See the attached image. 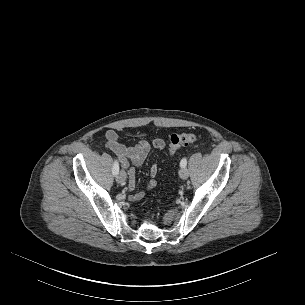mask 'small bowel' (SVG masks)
Here are the masks:
<instances>
[{"mask_svg": "<svg viewBox=\"0 0 305 305\" xmlns=\"http://www.w3.org/2000/svg\"><path fill=\"white\" fill-rule=\"evenodd\" d=\"M105 141L107 148L116 154L122 166L125 168H128L129 162H131L135 166L142 165L145 159L147 158L151 147L163 151L166 146L165 141L161 138L154 139L152 143H149L146 140H141L134 146H126L119 141V136L114 130L106 131ZM127 172L129 176L128 187L131 191H134L136 188L135 170L134 168H128ZM149 173L151 177H155L157 175V163H153L151 165ZM156 185V180H149L146 184L145 190L139 191L131 195L129 199L132 201L141 200L145 196L146 191L154 189Z\"/></svg>", "mask_w": 305, "mask_h": 305, "instance_id": "obj_1", "label": "small bowel"}]
</instances>
